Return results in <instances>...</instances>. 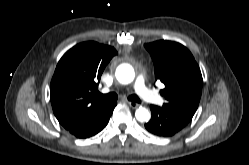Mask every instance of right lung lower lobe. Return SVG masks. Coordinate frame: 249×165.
Instances as JSON below:
<instances>
[{
  "label": "right lung lower lobe",
  "instance_id": "right-lung-lower-lobe-1",
  "mask_svg": "<svg viewBox=\"0 0 249 165\" xmlns=\"http://www.w3.org/2000/svg\"><path fill=\"white\" fill-rule=\"evenodd\" d=\"M115 106L116 103L111 102L94 117L68 129V131L77 138H88L97 134L107 125Z\"/></svg>",
  "mask_w": 249,
  "mask_h": 165
}]
</instances>
